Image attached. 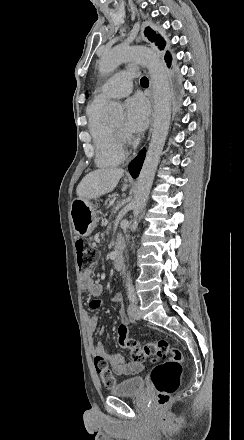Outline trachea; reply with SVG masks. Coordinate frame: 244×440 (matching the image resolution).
<instances>
[{"mask_svg": "<svg viewBox=\"0 0 244 440\" xmlns=\"http://www.w3.org/2000/svg\"><path fill=\"white\" fill-rule=\"evenodd\" d=\"M141 85L142 87H147L149 85V81L146 77L141 78Z\"/></svg>", "mask_w": 244, "mask_h": 440, "instance_id": "obj_1", "label": "trachea"}]
</instances>
